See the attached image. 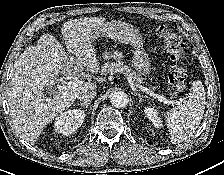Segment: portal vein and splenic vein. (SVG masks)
<instances>
[{
	"label": "portal vein and splenic vein",
	"instance_id": "portal-vein-and-splenic-vein-1",
	"mask_svg": "<svg viewBox=\"0 0 224 175\" xmlns=\"http://www.w3.org/2000/svg\"><path fill=\"white\" fill-rule=\"evenodd\" d=\"M128 81L131 85H133L131 79H128ZM82 83H83L82 80L75 78L74 80L67 82L66 85L67 86H77V85H81ZM138 88L141 89L143 92H146L148 95L158 99L159 101H161L167 105L180 104L182 102V100H180V101L169 100L159 94L154 93L153 91H149V89H147L146 87L139 86Z\"/></svg>",
	"mask_w": 224,
	"mask_h": 175
}]
</instances>
